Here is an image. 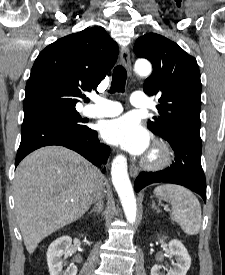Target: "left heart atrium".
Listing matches in <instances>:
<instances>
[{
    "instance_id": "39dd6f15",
    "label": "left heart atrium",
    "mask_w": 225,
    "mask_h": 275,
    "mask_svg": "<svg viewBox=\"0 0 225 275\" xmlns=\"http://www.w3.org/2000/svg\"><path fill=\"white\" fill-rule=\"evenodd\" d=\"M101 134L107 142L121 146L133 154H142L149 146L148 132L130 114L106 121Z\"/></svg>"
}]
</instances>
